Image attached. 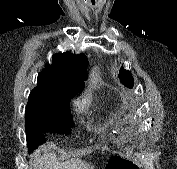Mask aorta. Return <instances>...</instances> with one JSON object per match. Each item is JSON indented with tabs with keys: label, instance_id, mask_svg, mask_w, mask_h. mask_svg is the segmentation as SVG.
I'll return each instance as SVG.
<instances>
[{
	"label": "aorta",
	"instance_id": "obj_1",
	"mask_svg": "<svg viewBox=\"0 0 177 169\" xmlns=\"http://www.w3.org/2000/svg\"><path fill=\"white\" fill-rule=\"evenodd\" d=\"M90 81H91V83L92 84H95V83H97V81H98V74H97V72L96 71H92V73L90 74Z\"/></svg>",
	"mask_w": 177,
	"mask_h": 169
}]
</instances>
